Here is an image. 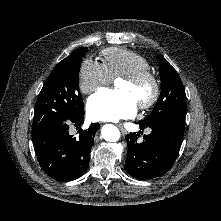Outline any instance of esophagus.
Here are the masks:
<instances>
[{
  "label": "esophagus",
  "mask_w": 221,
  "mask_h": 221,
  "mask_svg": "<svg viewBox=\"0 0 221 221\" xmlns=\"http://www.w3.org/2000/svg\"><path fill=\"white\" fill-rule=\"evenodd\" d=\"M117 127L120 129V131L122 132L123 135H126V134H127V131H126V129L123 127V125L118 124Z\"/></svg>",
  "instance_id": "1"
}]
</instances>
